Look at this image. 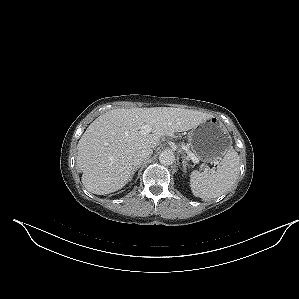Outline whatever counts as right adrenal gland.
Here are the masks:
<instances>
[{
  "mask_svg": "<svg viewBox=\"0 0 299 299\" xmlns=\"http://www.w3.org/2000/svg\"><path fill=\"white\" fill-rule=\"evenodd\" d=\"M139 168H140V165L133 168L132 173H131V177H130V181L132 180L133 175L135 174V172H136Z\"/></svg>",
  "mask_w": 299,
  "mask_h": 299,
  "instance_id": "obj_1",
  "label": "right adrenal gland"
}]
</instances>
